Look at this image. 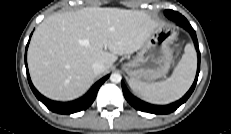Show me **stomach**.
I'll list each match as a JSON object with an SVG mask.
<instances>
[{
  "label": "stomach",
  "instance_id": "1",
  "mask_svg": "<svg viewBox=\"0 0 231 134\" xmlns=\"http://www.w3.org/2000/svg\"><path fill=\"white\" fill-rule=\"evenodd\" d=\"M175 29L167 24H159L147 38L140 52L123 69L130 79L151 82L164 77L173 60L171 44L176 39Z\"/></svg>",
  "mask_w": 231,
  "mask_h": 134
}]
</instances>
